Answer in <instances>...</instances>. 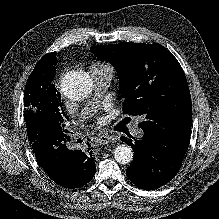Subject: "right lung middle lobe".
Masks as SVG:
<instances>
[{
	"label": "right lung middle lobe",
	"mask_w": 219,
	"mask_h": 219,
	"mask_svg": "<svg viewBox=\"0 0 219 219\" xmlns=\"http://www.w3.org/2000/svg\"><path fill=\"white\" fill-rule=\"evenodd\" d=\"M55 57L43 56L28 77L24 92V119L27 126L46 120L64 129L69 120L62 107L61 95L52 84L56 73Z\"/></svg>",
	"instance_id": "right-lung-middle-lobe-1"
}]
</instances>
